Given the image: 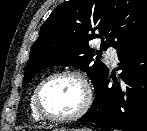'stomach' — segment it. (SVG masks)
<instances>
[{"instance_id": "1", "label": "stomach", "mask_w": 147, "mask_h": 131, "mask_svg": "<svg viewBox=\"0 0 147 131\" xmlns=\"http://www.w3.org/2000/svg\"><path fill=\"white\" fill-rule=\"evenodd\" d=\"M53 131H92V130L88 128L68 129V128L62 127V128L55 129Z\"/></svg>"}]
</instances>
